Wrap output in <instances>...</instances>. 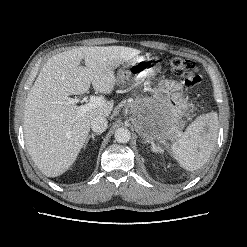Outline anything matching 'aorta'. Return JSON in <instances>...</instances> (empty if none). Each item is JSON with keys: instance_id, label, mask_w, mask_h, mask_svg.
Returning a JSON list of instances; mask_svg holds the SVG:
<instances>
[{"instance_id": "obj_1", "label": "aorta", "mask_w": 247, "mask_h": 247, "mask_svg": "<svg viewBox=\"0 0 247 247\" xmlns=\"http://www.w3.org/2000/svg\"><path fill=\"white\" fill-rule=\"evenodd\" d=\"M114 137L119 143H127L131 138V133L127 128L120 127L115 131Z\"/></svg>"}]
</instances>
